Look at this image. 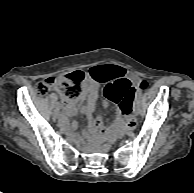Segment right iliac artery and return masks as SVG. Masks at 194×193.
I'll return each instance as SVG.
<instances>
[{
    "instance_id": "1",
    "label": "right iliac artery",
    "mask_w": 194,
    "mask_h": 193,
    "mask_svg": "<svg viewBox=\"0 0 194 193\" xmlns=\"http://www.w3.org/2000/svg\"><path fill=\"white\" fill-rule=\"evenodd\" d=\"M62 100H63V98H62ZM60 117H62V118H64L65 116H64V113H62V115H59Z\"/></svg>"
}]
</instances>
